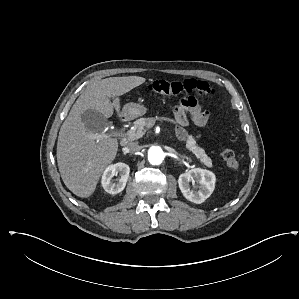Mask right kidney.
Wrapping results in <instances>:
<instances>
[{
    "mask_svg": "<svg viewBox=\"0 0 299 299\" xmlns=\"http://www.w3.org/2000/svg\"><path fill=\"white\" fill-rule=\"evenodd\" d=\"M130 168L125 163H116L108 166L102 176V186L110 194H118L123 191L129 177ZM119 174V178L114 182L113 177Z\"/></svg>",
    "mask_w": 299,
    "mask_h": 299,
    "instance_id": "right-kidney-1",
    "label": "right kidney"
}]
</instances>
